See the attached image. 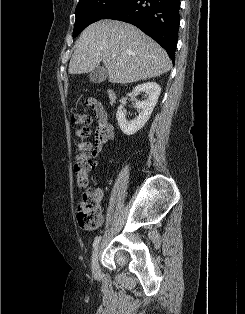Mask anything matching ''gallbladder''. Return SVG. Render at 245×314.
Here are the masks:
<instances>
[{"label": "gallbladder", "instance_id": "obj_1", "mask_svg": "<svg viewBox=\"0 0 245 314\" xmlns=\"http://www.w3.org/2000/svg\"><path fill=\"white\" fill-rule=\"evenodd\" d=\"M107 76V70L104 67L99 66L90 72L89 79L92 83H102L107 79Z\"/></svg>", "mask_w": 245, "mask_h": 314}]
</instances>
